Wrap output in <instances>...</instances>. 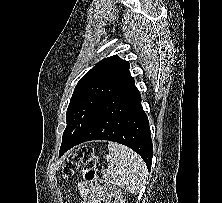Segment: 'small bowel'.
<instances>
[{"mask_svg": "<svg viewBox=\"0 0 222 203\" xmlns=\"http://www.w3.org/2000/svg\"><path fill=\"white\" fill-rule=\"evenodd\" d=\"M82 203H112L111 196L101 187L94 184L80 185Z\"/></svg>", "mask_w": 222, "mask_h": 203, "instance_id": "1", "label": "small bowel"}]
</instances>
